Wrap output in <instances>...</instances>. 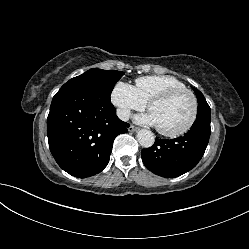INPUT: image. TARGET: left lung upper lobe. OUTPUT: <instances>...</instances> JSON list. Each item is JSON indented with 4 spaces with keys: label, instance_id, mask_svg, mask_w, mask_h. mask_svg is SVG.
I'll return each instance as SVG.
<instances>
[{
    "label": "left lung upper lobe",
    "instance_id": "1",
    "mask_svg": "<svg viewBox=\"0 0 249 249\" xmlns=\"http://www.w3.org/2000/svg\"><path fill=\"white\" fill-rule=\"evenodd\" d=\"M193 90L197 96V101H198L197 117H204V116L211 117L210 107L206 102V99L204 98L203 94L196 88H193Z\"/></svg>",
    "mask_w": 249,
    "mask_h": 249
}]
</instances>
